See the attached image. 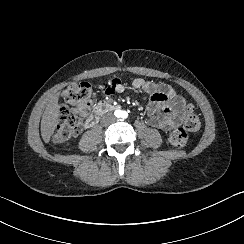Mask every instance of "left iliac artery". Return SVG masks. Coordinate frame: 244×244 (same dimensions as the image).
<instances>
[{
	"mask_svg": "<svg viewBox=\"0 0 244 244\" xmlns=\"http://www.w3.org/2000/svg\"><path fill=\"white\" fill-rule=\"evenodd\" d=\"M128 117V113L126 111H122V118L125 119Z\"/></svg>",
	"mask_w": 244,
	"mask_h": 244,
	"instance_id": "obj_1",
	"label": "left iliac artery"
}]
</instances>
